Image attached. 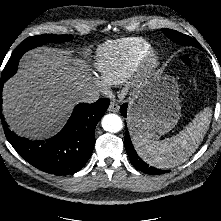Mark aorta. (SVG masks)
I'll use <instances>...</instances> for the list:
<instances>
[{"mask_svg": "<svg viewBox=\"0 0 221 221\" xmlns=\"http://www.w3.org/2000/svg\"><path fill=\"white\" fill-rule=\"evenodd\" d=\"M102 127L105 131L116 133L123 127L122 119L116 114H107L102 119Z\"/></svg>", "mask_w": 221, "mask_h": 221, "instance_id": "obj_1", "label": "aorta"}]
</instances>
